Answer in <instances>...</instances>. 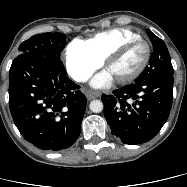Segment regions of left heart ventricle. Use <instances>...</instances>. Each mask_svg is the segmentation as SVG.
Returning a JSON list of instances; mask_svg holds the SVG:
<instances>
[{"label": "left heart ventricle", "instance_id": "obj_1", "mask_svg": "<svg viewBox=\"0 0 187 187\" xmlns=\"http://www.w3.org/2000/svg\"><path fill=\"white\" fill-rule=\"evenodd\" d=\"M146 56L145 44L138 42L131 45L120 57L114 59L107 67L115 78H122L133 73Z\"/></svg>", "mask_w": 187, "mask_h": 187}]
</instances>
